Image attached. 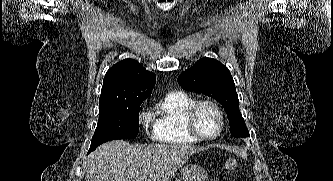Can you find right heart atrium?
Returning a JSON list of instances; mask_svg holds the SVG:
<instances>
[{"label": "right heart atrium", "instance_id": "right-heart-atrium-1", "mask_svg": "<svg viewBox=\"0 0 333 181\" xmlns=\"http://www.w3.org/2000/svg\"><path fill=\"white\" fill-rule=\"evenodd\" d=\"M150 117L143 111L139 114V121L142 125H147L149 123Z\"/></svg>", "mask_w": 333, "mask_h": 181}]
</instances>
